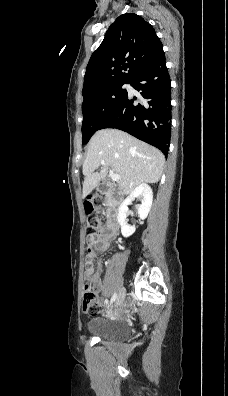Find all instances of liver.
<instances>
[{"label":"liver","mask_w":228,"mask_h":396,"mask_svg":"<svg viewBox=\"0 0 228 396\" xmlns=\"http://www.w3.org/2000/svg\"><path fill=\"white\" fill-rule=\"evenodd\" d=\"M101 171L94 172L100 165ZM165 158L157 148L118 129H102L88 143L83 163V198L96 188L111 168L120 176L118 186L124 195L142 183H157Z\"/></svg>","instance_id":"liver-1"}]
</instances>
